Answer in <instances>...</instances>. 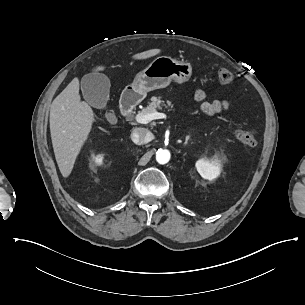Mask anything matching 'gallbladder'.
Returning a JSON list of instances; mask_svg holds the SVG:
<instances>
[{
    "mask_svg": "<svg viewBox=\"0 0 305 305\" xmlns=\"http://www.w3.org/2000/svg\"><path fill=\"white\" fill-rule=\"evenodd\" d=\"M110 80L101 73H88L81 80V90L84 100L92 107L103 110L107 121L115 115L109 111Z\"/></svg>",
    "mask_w": 305,
    "mask_h": 305,
    "instance_id": "obj_1",
    "label": "gallbladder"
}]
</instances>
